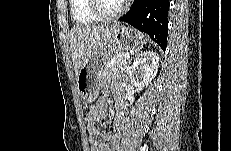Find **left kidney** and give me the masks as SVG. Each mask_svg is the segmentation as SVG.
<instances>
[{
  "instance_id": "5707ae66",
  "label": "left kidney",
  "mask_w": 231,
  "mask_h": 151,
  "mask_svg": "<svg viewBox=\"0 0 231 151\" xmlns=\"http://www.w3.org/2000/svg\"><path fill=\"white\" fill-rule=\"evenodd\" d=\"M159 60L156 52L148 51L139 54L129 67L131 84L136 87L149 85L158 72Z\"/></svg>"
}]
</instances>
